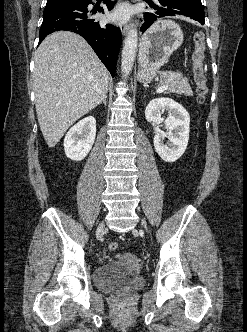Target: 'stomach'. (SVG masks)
Listing matches in <instances>:
<instances>
[{
    "label": "stomach",
    "instance_id": "1",
    "mask_svg": "<svg viewBox=\"0 0 247 332\" xmlns=\"http://www.w3.org/2000/svg\"><path fill=\"white\" fill-rule=\"evenodd\" d=\"M183 42V32L171 20L155 22L142 36L139 49V72L141 82L150 81L158 70L168 62L170 55Z\"/></svg>",
    "mask_w": 247,
    "mask_h": 332
}]
</instances>
